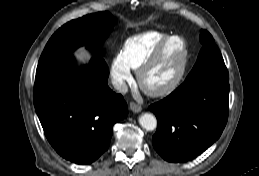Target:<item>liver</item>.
I'll return each mask as SVG.
<instances>
[{"mask_svg":"<svg viewBox=\"0 0 259 176\" xmlns=\"http://www.w3.org/2000/svg\"><path fill=\"white\" fill-rule=\"evenodd\" d=\"M75 55H76L79 59H81V60H83V61H88L89 58H90V54H89L84 48L79 49V50L75 53Z\"/></svg>","mask_w":259,"mask_h":176,"instance_id":"obj_1","label":"liver"}]
</instances>
